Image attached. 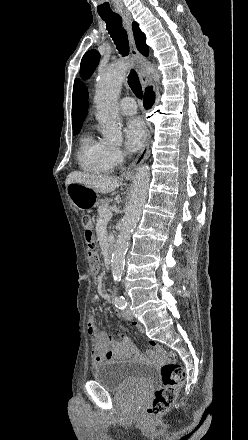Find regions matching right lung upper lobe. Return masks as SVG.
Wrapping results in <instances>:
<instances>
[{"label":"right lung upper lobe","instance_id":"right-lung-upper-lobe-1","mask_svg":"<svg viewBox=\"0 0 248 440\" xmlns=\"http://www.w3.org/2000/svg\"><path fill=\"white\" fill-rule=\"evenodd\" d=\"M134 38L138 50L145 56H148L149 48L146 45V38L144 33L140 30L139 25L136 22L132 24ZM87 90L85 86L79 81L75 80L73 87L72 98V125L73 131L80 130L82 123L87 116L88 103H87Z\"/></svg>","mask_w":248,"mask_h":440}]
</instances>
